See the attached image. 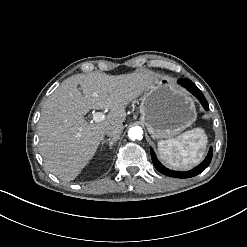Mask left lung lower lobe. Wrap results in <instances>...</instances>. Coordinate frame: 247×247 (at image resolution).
<instances>
[{
    "mask_svg": "<svg viewBox=\"0 0 247 247\" xmlns=\"http://www.w3.org/2000/svg\"><path fill=\"white\" fill-rule=\"evenodd\" d=\"M179 84H181L183 87H185L187 90H189L203 105V107L208 110L209 106L208 103L204 97V95L202 94V92L195 86V84L189 80V79H180L178 81ZM212 153L213 150L212 148H210L209 153L207 155V157L205 158V160L198 165L197 167H195L194 169L187 171V172H177V171H172L169 170L167 168H165L156 158L153 150L151 149V158H152V162L155 166V168L162 174L167 175V176H171V177H176V178H190V177H194L198 174H200L203 170H205L212 159Z\"/></svg>",
    "mask_w": 247,
    "mask_h": 247,
    "instance_id": "left-lung-lower-lobe-1",
    "label": "left lung lower lobe"
}]
</instances>
